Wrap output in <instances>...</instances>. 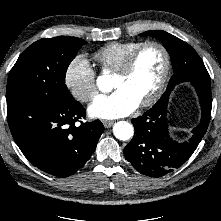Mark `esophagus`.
I'll use <instances>...</instances> for the list:
<instances>
[{
  "instance_id": "obj_1",
  "label": "esophagus",
  "mask_w": 221,
  "mask_h": 221,
  "mask_svg": "<svg viewBox=\"0 0 221 221\" xmlns=\"http://www.w3.org/2000/svg\"><path fill=\"white\" fill-rule=\"evenodd\" d=\"M114 121H110V120H103V125L106 127V128H109L113 125Z\"/></svg>"
}]
</instances>
